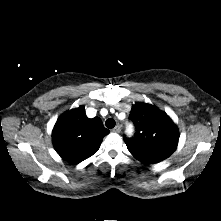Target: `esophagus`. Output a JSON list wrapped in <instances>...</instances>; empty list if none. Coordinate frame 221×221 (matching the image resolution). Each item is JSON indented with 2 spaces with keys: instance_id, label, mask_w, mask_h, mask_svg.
I'll list each match as a JSON object with an SVG mask.
<instances>
[{
  "instance_id": "obj_1",
  "label": "esophagus",
  "mask_w": 221,
  "mask_h": 221,
  "mask_svg": "<svg viewBox=\"0 0 221 221\" xmlns=\"http://www.w3.org/2000/svg\"><path fill=\"white\" fill-rule=\"evenodd\" d=\"M113 131L119 133L121 131V126L120 125H116L114 127Z\"/></svg>"
}]
</instances>
